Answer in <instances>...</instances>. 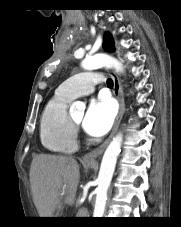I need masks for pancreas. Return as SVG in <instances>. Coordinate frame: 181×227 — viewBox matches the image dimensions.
<instances>
[{"instance_id":"cf45deb5","label":"pancreas","mask_w":181,"mask_h":227,"mask_svg":"<svg viewBox=\"0 0 181 227\" xmlns=\"http://www.w3.org/2000/svg\"><path fill=\"white\" fill-rule=\"evenodd\" d=\"M87 210L86 208H80L77 213V217H86Z\"/></svg>"}]
</instances>
